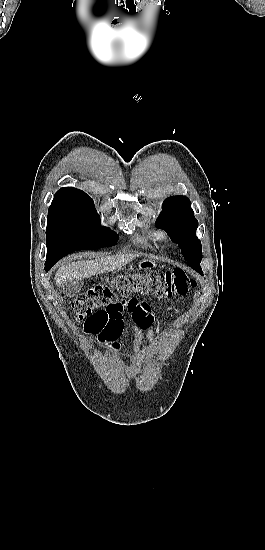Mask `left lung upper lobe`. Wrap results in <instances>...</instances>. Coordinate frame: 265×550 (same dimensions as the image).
Listing matches in <instances>:
<instances>
[{
	"mask_svg": "<svg viewBox=\"0 0 265 550\" xmlns=\"http://www.w3.org/2000/svg\"><path fill=\"white\" fill-rule=\"evenodd\" d=\"M156 224L168 233L174 243L178 244L188 266L194 270H201L202 247L201 241L196 236L198 221L194 217L189 199L185 196L166 199Z\"/></svg>",
	"mask_w": 265,
	"mask_h": 550,
	"instance_id": "1",
	"label": "left lung upper lobe"
}]
</instances>
